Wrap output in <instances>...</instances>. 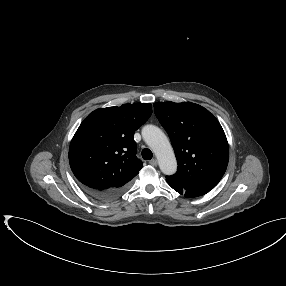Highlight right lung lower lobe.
I'll use <instances>...</instances> for the list:
<instances>
[{
  "label": "right lung lower lobe",
  "instance_id": "1",
  "mask_svg": "<svg viewBox=\"0 0 286 286\" xmlns=\"http://www.w3.org/2000/svg\"><path fill=\"white\" fill-rule=\"evenodd\" d=\"M82 189L86 194L99 201H109L120 196L126 189L125 188H110L105 190H98L82 185Z\"/></svg>",
  "mask_w": 286,
  "mask_h": 286
}]
</instances>
